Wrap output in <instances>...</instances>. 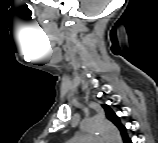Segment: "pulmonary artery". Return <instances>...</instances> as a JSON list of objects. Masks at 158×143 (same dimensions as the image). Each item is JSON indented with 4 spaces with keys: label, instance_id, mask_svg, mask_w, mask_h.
Returning <instances> with one entry per match:
<instances>
[{
    "label": "pulmonary artery",
    "instance_id": "obj_1",
    "mask_svg": "<svg viewBox=\"0 0 158 143\" xmlns=\"http://www.w3.org/2000/svg\"><path fill=\"white\" fill-rule=\"evenodd\" d=\"M78 140L83 142H90V141L98 140V138L90 135H81L78 137Z\"/></svg>",
    "mask_w": 158,
    "mask_h": 143
}]
</instances>
